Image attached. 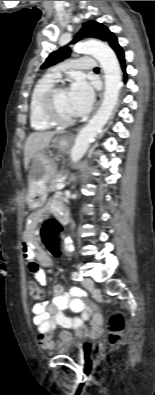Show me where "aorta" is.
<instances>
[{
	"label": "aorta",
	"mask_w": 155,
	"mask_h": 395,
	"mask_svg": "<svg viewBox=\"0 0 155 395\" xmlns=\"http://www.w3.org/2000/svg\"><path fill=\"white\" fill-rule=\"evenodd\" d=\"M76 51L82 54L94 56L100 63L105 74V92L100 108L91 118L88 124L83 127L75 139L71 149V160L78 162L87 149L93 138L105 126L110 119L112 112L117 105L121 88V69L114 51L106 44L88 40L80 42ZM64 250L73 251V242L70 237L64 241Z\"/></svg>",
	"instance_id": "obj_1"
}]
</instances>
